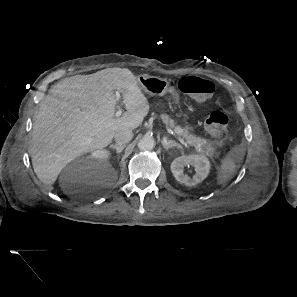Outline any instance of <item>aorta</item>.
Wrapping results in <instances>:
<instances>
[{"label": "aorta", "instance_id": "762f6f07", "mask_svg": "<svg viewBox=\"0 0 297 297\" xmlns=\"http://www.w3.org/2000/svg\"><path fill=\"white\" fill-rule=\"evenodd\" d=\"M155 147V140L153 137L144 136L138 142V148L142 151H149Z\"/></svg>", "mask_w": 297, "mask_h": 297}]
</instances>
